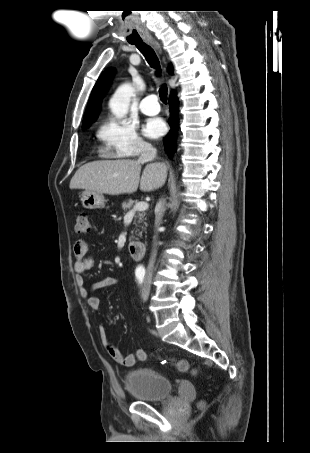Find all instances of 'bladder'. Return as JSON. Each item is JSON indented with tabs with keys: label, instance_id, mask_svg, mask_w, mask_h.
Segmentation results:
<instances>
[{
	"label": "bladder",
	"instance_id": "1",
	"mask_svg": "<svg viewBox=\"0 0 310 453\" xmlns=\"http://www.w3.org/2000/svg\"><path fill=\"white\" fill-rule=\"evenodd\" d=\"M125 388L141 402H158L172 395L169 378L149 368L129 372L126 375Z\"/></svg>",
	"mask_w": 310,
	"mask_h": 453
}]
</instances>
